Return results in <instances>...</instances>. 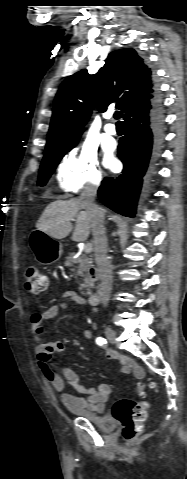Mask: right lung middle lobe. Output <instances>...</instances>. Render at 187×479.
<instances>
[{"label":"right lung middle lobe","mask_w":187,"mask_h":479,"mask_svg":"<svg viewBox=\"0 0 187 479\" xmlns=\"http://www.w3.org/2000/svg\"><path fill=\"white\" fill-rule=\"evenodd\" d=\"M75 145L76 144L70 147L50 149L45 152V156L40 167L38 185L44 186L47 183L49 177L55 170L60 160L67 152L74 148Z\"/></svg>","instance_id":"obj_1"}]
</instances>
